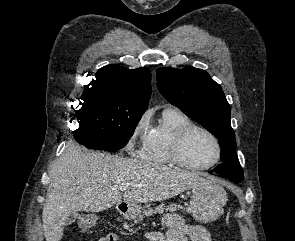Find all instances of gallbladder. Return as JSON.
I'll return each instance as SVG.
<instances>
[{"mask_svg":"<svg viewBox=\"0 0 295 241\" xmlns=\"http://www.w3.org/2000/svg\"><path fill=\"white\" fill-rule=\"evenodd\" d=\"M77 218V214L76 213H73L71 214L67 219H66V222H65V225H70L72 224Z\"/></svg>","mask_w":295,"mask_h":241,"instance_id":"gallbladder-1","label":"gallbladder"}]
</instances>
